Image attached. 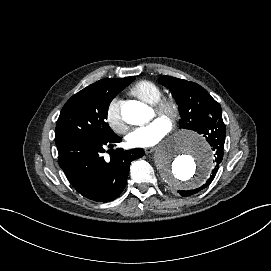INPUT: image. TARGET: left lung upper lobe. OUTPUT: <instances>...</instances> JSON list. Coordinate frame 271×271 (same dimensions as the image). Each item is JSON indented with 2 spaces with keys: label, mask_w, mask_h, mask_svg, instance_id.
<instances>
[{
  "label": "left lung upper lobe",
  "mask_w": 271,
  "mask_h": 271,
  "mask_svg": "<svg viewBox=\"0 0 271 271\" xmlns=\"http://www.w3.org/2000/svg\"><path fill=\"white\" fill-rule=\"evenodd\" d=\"M160 83L175 97L180 110V127L197 131L216 116H221V106L200 85L171 76H162Z\"/></svg>",
  "instance_id": "left-lung-upper-lobe-1"
}]
</instances>
